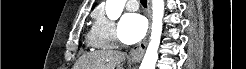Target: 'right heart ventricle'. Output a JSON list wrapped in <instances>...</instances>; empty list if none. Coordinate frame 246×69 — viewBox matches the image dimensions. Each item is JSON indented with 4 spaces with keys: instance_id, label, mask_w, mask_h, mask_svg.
Here are the masks:
<instances>
[{
    "instance_id": "1",
    "label": "right heart ventricle",
    "mask_w": 246,
    "mask_h": 69,
    "mask_svg": "<svg viewBox=\"0 0 246 69\" xmlns=\"http://www.w3.org/2000/svg\"><path fill=\"white\" fill-rule=\"evenodd\" d=\"M87 42H88V45L90 46H95V39H94V35H93V32H90L88 35H87ZM96 47V46H95Z\"/></svg>"
}]
</instances>
